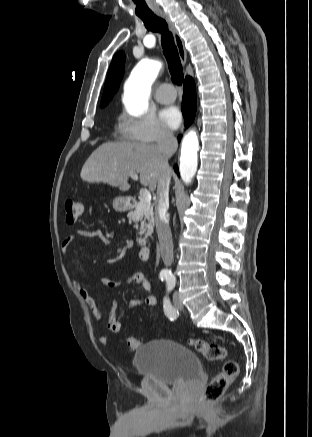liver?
<instances>
[{
  "instance_id": "6515ba94",
  "label": "liver",
  "mask_w": 312,
  "mask_h": 437,
  "mask_svg": "<svg viewBox=\"0 0 312 437\" xmlns=\"http://www.w3.org/2000/svg\"><path fill=\"white\" fill-rule=\"evenodd\" d=\"M161 172L156 144L108 142L90 155L80 176L88 183H104L127 191L131 187L128 183L130 174H139L140 183L154 192Z\"/></svg>"
}]
</instances>
